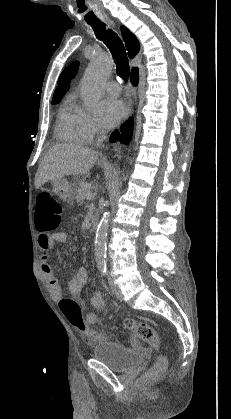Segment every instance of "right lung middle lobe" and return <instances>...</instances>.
Returning a JSON list of instances; mask_svg holds the SVG:
<instances>
[{
	"instance_id": "1",
	"label": "right lung middle lobe",
	"mask_w": 231,
	"mask_h": 419,
	"mask_svg": "<svg viewBox=\"0 0 231 419\" xmlns=\"http://www.w3.org/2000/svg\"><path fill=\"white\" fill-rule=\"evenodd\" d=\"M60 101V98H57V99H52V103L53 104H56V103H58Z\"/></svg>"
}]
</instances>
